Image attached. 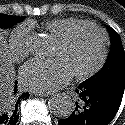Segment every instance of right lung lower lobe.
<instances>
[{
	"instance_id": "1",
	"label": "right lung lower lobe",
	"mask_w": 125,
	"mask_h": 125,
	"mask_svg": "<svg viewBox=\"0 0 125 125\" xmlns=\"http://www.w3.org/2000/svg\"><path fill=\"white\" fill-rule=\"evenodd\" d=\"M16 92L15 87L14 94ZM24 98H29V93H23L20 97L14 96L5 107L0 109V125H16L19 119L18 104L20 103V99Z\"/></svg>"
}]
</instances>
